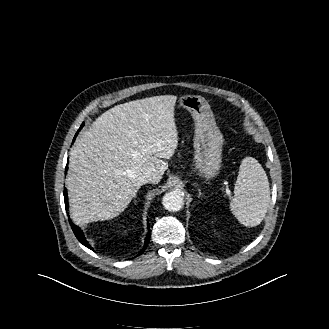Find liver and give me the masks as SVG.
Wrapping results in <instances>:
<instances>
[{
    "label": "liver",
    "instance_id": "liver-1",
    "mask_svg": "<svg viewBox=\"0 0 329 329\" xmlns=\"http://www.w3.org/2000/svg\"><path fill=\"white\" fill-rule=\"evenodd\" d=\"M174 95L153 96L114 106L82 132L70 151L66 186L77 223L118 216L151 171L156 184L178 146Z\"/></svg>",
    "mask_w": 329,
    "mask_h": 329
}]
</instances>
